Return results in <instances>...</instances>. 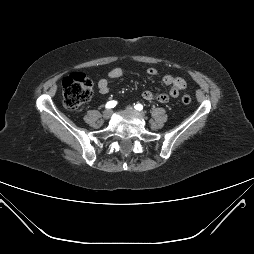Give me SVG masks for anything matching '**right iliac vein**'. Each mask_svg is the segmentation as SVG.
<instances>
[{
  "label": "right iliac vein",
  "instance_id": "63e3f726",
  "mask_svg": "<svg viewBox=\"0 0 254 254\" xmlns=\"http://www.w3.org/2000/svg\"><path fill=\"white\" fill-rule=\"evenodd\" d=\"M111 114H112V111L109 110V109H107V110H105V111L103 112V118H104V119H109L110 116H111Z\"/></svg>",
  "mask_w": 254,
  "mask_h": 254
}]
</instances>
